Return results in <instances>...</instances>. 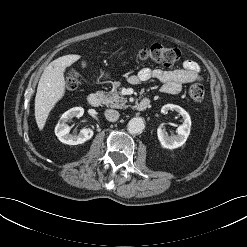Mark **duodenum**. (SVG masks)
Here are the masks:
<instances>
[{
  "label": "duodenum",
  "instance_id": "410a0bca",
  "mask_svg": "<svg viewBox=\"0 0 247 247\" xmlns=\"http://www.w3.org/2000/svg\"><path fill=\"white\" fill-rule=\"evenodd\" d=\"M101 101H102V96L98 93H92L87 97L88 104L93 107L100 105ZM150 104H151L150 99L144 98L138 102L136 109L138 111H144L150 106Z\"/></svg>",
  "mask_w": 247,
  "mask_h": 247
}]
</instances>
